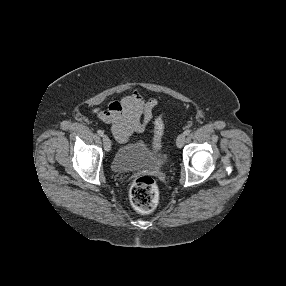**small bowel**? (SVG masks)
Wrapping results in <instances>:
<instances>
[{
	"instance_id": "obj_1",
	"label": "small bowel",
	"mask_w": 286,
	"mask_h": 286,
	"mask_svg": "<svg viewBox=\"0 0 286 286\" xmlns=\"http://www.w3.org/2000/svg\"><path fill=\"white\" fill-rule=\"evenodd\" d=\"M156 105L155 98H144L133 91L120 100L111 101L106 110H97V116L110 126L118 142L126 143L145 129Z\"/></svg>"
}]
</instances>
